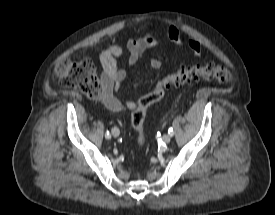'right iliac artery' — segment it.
<instances>
[{"label": "right iliac artery", "instance_id": "82829eb1", "mask_svg": "<svg viewBox=\"0 0 275 215\" xmlns=\"http://www.w3.org/2000/svg\"><path fill=\"white\" fill-rule=\"evenodd\" d=\"M105 137H106L107 139H110V138H111V135H110L109 131H107V133L105 134Z\"/></svg>", "mask_w": 275, "mask_h": 215}]
</instances>
